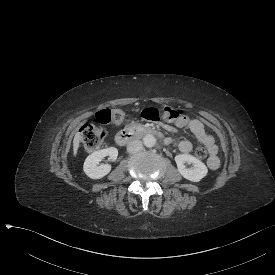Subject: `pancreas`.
Here are the masks:
<instances>
[{
	"label": "pancreas",
	"mask_w": 275,
	"mask_h": 275,
	"mask_svg": "<svg viewBox=\"0 0 275 275\" xmlns=\"http://www.w3.org/2000/svg\"><path fill=\"white\" fill-rule=\"evenodd\" d=\"M125 128L128 130H142L144 127L140 123L131 122L130 124L126 125Z\"/></svg>",
	"instance_id": "cf45deb5"
}]
</instances>
